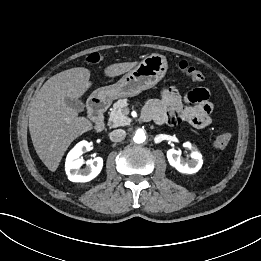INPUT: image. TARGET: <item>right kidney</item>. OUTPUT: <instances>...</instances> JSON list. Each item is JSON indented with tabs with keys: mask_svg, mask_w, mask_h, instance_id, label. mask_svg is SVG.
<instances>
[{
	"mask_svg": "<svg viewBox=\"0 0 261 261\" xmlns=\"http://www.w3.org/2000/svg\"><path fill=\"white\" fill-rule=\"evenodd\" d=\"M90 149V143L83 140L77 143L68 153L65 162V171L68 179L72 182H88L94 179L102 170L103 159L96 157L86 162L87 167L80 169L85 163L80 156Z\"/></svg>",
	"mask_w": 261,
	"mask_h": 261,
	"instance_id": "obj_1",
	"label": "right kidney"
}]
</instances>
